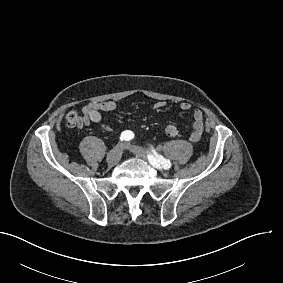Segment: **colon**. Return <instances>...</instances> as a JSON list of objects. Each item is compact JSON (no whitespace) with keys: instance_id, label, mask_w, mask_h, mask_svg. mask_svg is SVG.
Listing matches in <instances>:
<instances>
[{"instance_id":"5ec220e1","label":"colon","mask_w":283,"mask_h":283,"mask_svg":"<svg viewBox=\"0 0 283 283\" xmlns=\"http://www.w3.org/2000/svg\"><path fill=\"white\" fill-rule=\"evenodd\" d=\"M79 124H80V121H79L77 112L76 111H70L66 115V123H65L66 128L71 129L73 127H78ZM164 133H165L166 137L174 138L178 135L179 129L175 125H170V126L165 128Z\"/></svg>"}]
</instances>
